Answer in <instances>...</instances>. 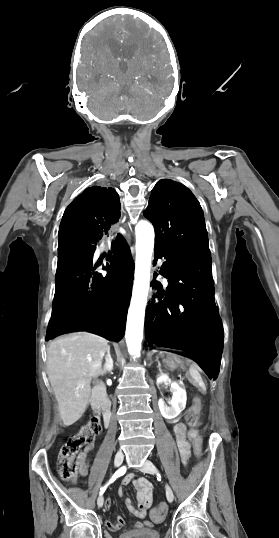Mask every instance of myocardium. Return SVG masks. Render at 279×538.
Returning a JSON list of instances; mask_svg holds the SVG:
<instances>
[{
    "mask_svg": "<svg viewBox=\"0 0 279 538\" xmlns=\"http://www.w3.org/2000/svg\"><path fill=\"white\" fill-rule=\"evenodd\" d=\"M107 235V231L105 232H102L98 238H96V240H98V243H101L102 241H104L105 237Z\"/></svg>",
    "mask_w": 279,
    "mask_h": 538,
    "instance_id": "myocardium-1",
    "label": "myocardium"
}]
</instances>
